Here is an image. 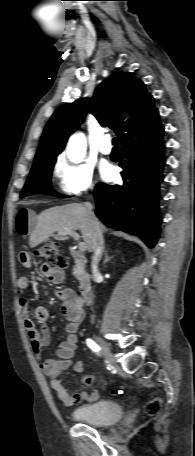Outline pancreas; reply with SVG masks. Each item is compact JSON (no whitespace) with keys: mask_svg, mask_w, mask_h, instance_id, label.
I'll use <instances>...</instances> for the list:
<instances>
[{"mask_svg":"<svg viewBox=\"0 0 195 456\" xmlns=\"http://www.w3.org/2000/svg\"><path fill=\"white\" fill-rule=\"evenodd\" d=\"M85 275V272L83 269H81L78 273H77V278H82L83 276Z\"/></svg>","mask_w":195,"mask_h":456,"instance_id":"1","label":"pancreas"}]
</instances>
